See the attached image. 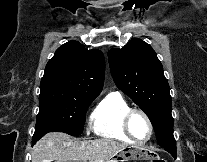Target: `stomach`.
<instances>
[{
    "label": "stomach",
    "mask_w": 207,
    "mask_h": 162,
    "mask_svg": "<svg viewBox=\"0 0 207 162\" xmlns=\"http://www.w3.org/2000/svg\"><path fill=\"white\" fill-rule=\"evenodd\" d=\"M133 160H160V158L145 148L126 147L115 155V158L110 160V162H128Z\"/></svg>",
    "instance_id": "obj_1"
}]
</instances>
